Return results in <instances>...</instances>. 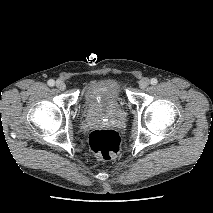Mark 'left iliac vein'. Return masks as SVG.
Wrapping results in <instances>:
<instances>
[{
  "mask_svg": "<svg viewBox=\"0 0 213 213\" xmlns=\"http://www.w3.org/2000/svg\"><path fill=\"white\" fill-rule=\"evenodd\" d=\"M150 81L147 78H143L140 82H139V87L141 89H145L147 88V86L149 85Z\"/></svg>",
  "mask_w": 213,
  "mask_h": 213,
  "instance_id": "left-iliac-vein-1",
  "label": "left iliac vein"
}]
</instances>
